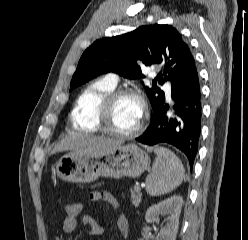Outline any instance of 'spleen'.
Masks as SVG:
<instances>
[{
    "label": "spleen",
    "mask_w": 248,
    "mask_h": 240,
    "mask_svg": "<svg viewBox=\"0 0 248 240\" xmlns=\"http://www.w3.org/2000/svg\"><path fill=\"white\" fill-rule=\"evenodd\" d=\"M157 157L146 178V191L160 196L176 189L183 181L185 170L180 159L165 147H155Z\"/></svg>",
    "instance_id": "spleen-1"
}]
</instances>
